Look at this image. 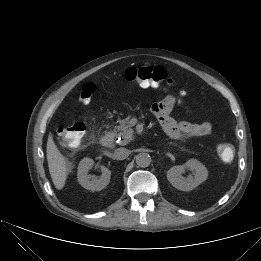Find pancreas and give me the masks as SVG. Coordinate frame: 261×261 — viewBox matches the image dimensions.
<instances>
[{"label": "pancreas", "mask_w": 261, "mask_h": 261, "mask_svg": "<svg viewBox=\"0 0 261 261\" xmlns=\"http://www.w3.org/2000/svg\"><path fill=\"white\" fill-rule=\"evenodd\" d=\"M130 118H126L120 122L119 126H115V132L117 136H120L123 138V141L121 142L122 145L127 144L132 140L133 137V129L130 124ZM172 144V143H171Z\"/></svg>", "instance_id": "1"}]
</instances>
